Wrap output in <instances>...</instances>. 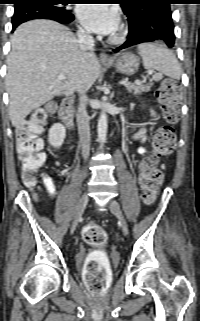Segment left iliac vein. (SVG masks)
Returning <instances> with one entry per match:
<instances>
[{"label": "left iliac vein", "instance_id": "left-iliac-vein-1", "mask_svg": "<svg viewBox=\"0 0 200 321\" xmlns=\"http://www.w3.org/2000/svg\"><path fill=\"white\" fill-rule=\"evenodd\" d=\"M108 206H109V209L111 210V212L119 219L123 234L127 235L128 234V224L123 216L120 205L115 200H111L109 202Z\"/></svg>", "mask_w": 200, "mask_h": 321}]
</instances>
